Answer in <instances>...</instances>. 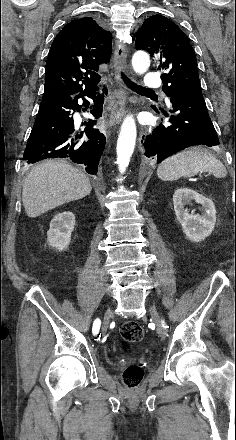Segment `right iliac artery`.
<instances>
[{"instance_id": "right-iliac-artery-1", "label": "right iliac artery", "mask_w": 236, "mask_h": 440, "mask_svg": "<svg viewBox=\"0 0 236 440\" xmlns=\"http://www.w3.org/2000/svg\"><path fill=\"white\" fill-rule=\"evenodd\" d=\"M101 321L100 319H96L93 323L92 332L94 335H97L99 333Z\"/></svg>"}]
</instances>
